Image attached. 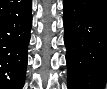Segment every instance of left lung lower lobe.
I'll list each match as a JSON object with an SVG mask.
<instances>
[{
  "mask_svg": "<svg viewBox=\"0 0 107 89\" xmlns=\"http://www.w3.org/2000/svg\"><path fill=\"white\" fill-rule=\"evenodd\" d=\"M69 89H103L107 71L106 0H64Z\"/></svg>",
  "mask_w": 107,
  "mask_h": 89,
  "instance_id": "1",
  "label": "left lung lower lobe"
}]
</instances>
